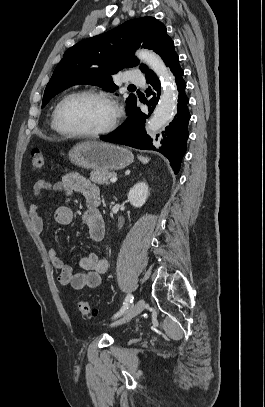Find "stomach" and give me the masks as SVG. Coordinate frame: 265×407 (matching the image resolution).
<instances>
[{"instance_id":"1","label":"stomach","mask_w":265,"mask_h":407,"mask_svg":"<svg viewBox=\"0 0 265 407\" xmlns=\"http://www.w3.org/2000/svg\"><path fill=\"white\" fill-rule=\"evenodd\" d=\"M69 160L76 166L93 170H120L133 162L126 148L100 141H86L69 151Z\"/></svg>"}]
</instances>
